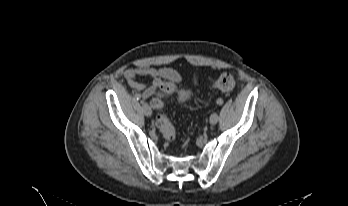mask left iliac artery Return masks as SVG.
<instances>
[{
    "label": "left iliac artery",
    "mask_w": 348,
    "mask_h": 206,
    "mask_svg": "<svg viewBox=\"0 0 348 206\" xmlns=\"http://www.w3.org/2000/svg\"><path fill=\"white\" fill-rule=\"evenodd\" d=\"M217 103L222 104V100L221 99L217 100Z\"/></svg>",
    "instance_id": "obj_1"
}]
</instances>
